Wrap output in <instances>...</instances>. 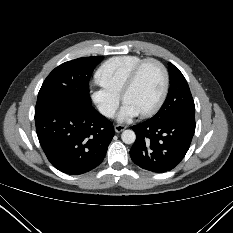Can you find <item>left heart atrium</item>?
Here are the masks:
<instances>
[{
    "instance_id": "left-heart-atrium-1",
    "label": "left heart atrium",
    "mask_w": 233,
    "mask_h": 233,
    "mask_svg": "<svg viewBox=\"0 0 233 233\" xmlns=\"http://www.w3.org/2000/svg\"><path fill=\"white\" fill-rule=\"evenodd\" d=\"M140 112L131 106L129 103L124 102L123 107L118 115V120L122 122H126L131 120L132 118L138 116Z\"/></svg>"
}]
</instances>
